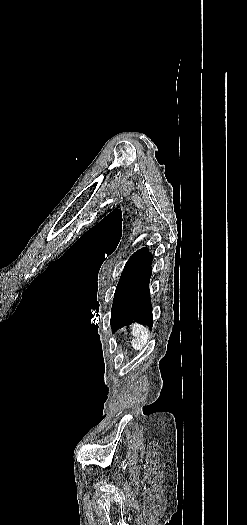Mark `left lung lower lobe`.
Listing matches in <instances>:
<instances>
[{
    "instance_id": "left-lung-lower-lobe-1",
    "label": "left lung lower lobe",
    "mask_w": 247,
    "mask_h": 525,
    "mask_svg": "<svg viewBox=\"0 0 247 525\" xmlns=\"http://www.w3.org/2000/svg\"><path fill=\"white\" fill-rule=\"evenodd\" d=\"M150 268L113 304L111 310V327L117 329L135 321L153 325L152 306L150 302L149 281Z\"/></svg>"
}]
</instances>
